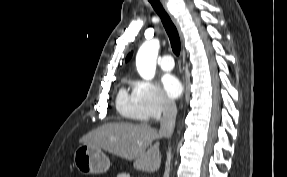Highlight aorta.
<instances>
[{"label":"aorta","instance_id":"1","mask_svg":"<svg viewBox=\"0 0 287 177\" xmlns=\"http://www.w3.org/2000/svg\"><path fill=\"white\" fill-rule=\"evenodd\" d=\"M157 39L145 42L139 49L136 56V67L140 76L150 80L155 75L156 59L159 51Z\"/></svg>","mask_w":287,"mask_h":177}]
</instances>
